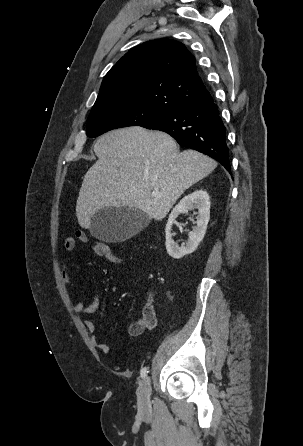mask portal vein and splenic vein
<instances>
[{"instance_id": "portal-vein-and-splenic-vein-1", "label": "portal vein and splenic vein", "mask_w": 303, "mask_h": 446, "mask_svg": "<svg viewBox=\"0 0 303 446\" xmlns=\"http://www.w3.org/2000/svg\"><path fill=\"white\" fill-rule=\"evenodd\" d=\"M152 194H153L154 196H159V195H160V193H159L158 191H155V190L152 192Z\"/></svg>"}]
</instances>
